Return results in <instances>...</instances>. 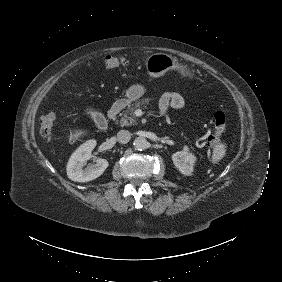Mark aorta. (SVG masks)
<instances>
[{
  "mask_svg": "<svg viewBox=\"0 0 282 282\" xmlns=\"http://www.w3.org/2000/svg\"><path fill=\"white\" fill-rule=\"evenodd\" d=\"M134 148L138 151L145 150L148 148V141L143 137H137L133 141Z\"/></svg>",
  "mask_w": 282,
  "mask_h": 282,
  "instance_id": "obj_1",
  "label": "aorta"
}]
</instances>
